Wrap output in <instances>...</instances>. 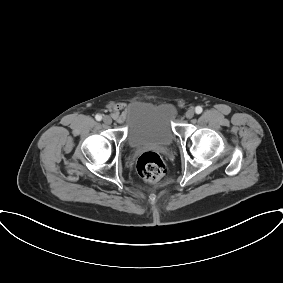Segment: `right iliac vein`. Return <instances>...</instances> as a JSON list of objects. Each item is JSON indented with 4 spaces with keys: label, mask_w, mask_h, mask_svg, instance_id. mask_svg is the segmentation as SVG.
I'll return each mask as SVG.
<instances>
[{
    "label": "right iliac vein",
    "mask_w": 283,
    "mask_h": 283,
    "mask_svg": "<svg viewBox=\"0 0 283 283\" xmlns=\"http://www.w3.org/2000/svg\"><path fill=\"white\" fill-rule=\"evenodd\" d=\"M103 122L106 125H110L112 123V118L110 116L106 115V116L103 117Z\"/></svg>",
    "instance_id": "63e3f726"
}]
</instances>
